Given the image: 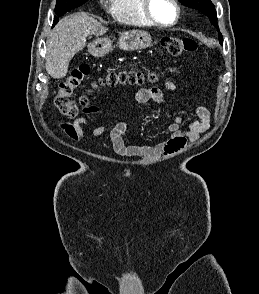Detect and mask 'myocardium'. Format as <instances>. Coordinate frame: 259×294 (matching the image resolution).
<instances>
[{
    "label": "myocardium",
    "instance_id": "f54148a6",
    "mask_svg": "<svg viewBox=\"0 0 259 294\" xmlns=\"http://www.w3.org/2000/svg\"><path fill=\"white\" fill-rule=\"evenodd\" d=\"M151 2L152 0H142V11L144 16L147 18V20L154 26L157 27H161V28H169V27H173L175 26L181 17V10H180V6L177 0H171L174 8H175V12H176V16L173 22L171 23H163L158 21L152 14L151 12Z\"/></svg>",
    "mask_w": 259,
    "mask_h": 294
}]
</instances>
